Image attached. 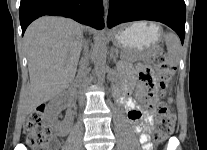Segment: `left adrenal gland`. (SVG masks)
I'll return each mask as SVG.
<instances>
[{
    "label": "left adrenal gland",
    "mask_w": 207,
    "mask_h": 150,
    "mask_svg": "<svg viewBox=\"0 0 207 150\" xmlns=\"http://www.w3.org/2000/svg\"><path fill=\"white\" fill-rule=\"evenodd\" d=\"M111 59L115 64L117 63V56H115L114 52L111 54Z\"/></svg>",
    "instance_id": "left-adrenal-gland-1"
}]
</instances>
